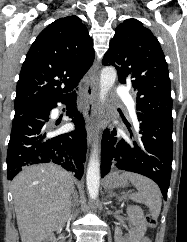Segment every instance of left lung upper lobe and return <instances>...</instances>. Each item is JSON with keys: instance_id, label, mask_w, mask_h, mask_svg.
Wrapping results in <instances>:
<instances>
[{"instance_id": "obj_1", "label": "left lung upper lobe", "mask_w": 187, "mask_h": 242, "mask_svg": "<svg viewBox=\"0 0 187 242\" xmlns=\"http://www.w3.org/2000/svg\"><path fill=\"white\" fill-rule=\"evenodd\" d=\"M118 72L120 83L131 81L137 94L136 109L172 120L169 71L157 38L136 19L117 26L102 60Z\"/></svg>"}]
</instances>
